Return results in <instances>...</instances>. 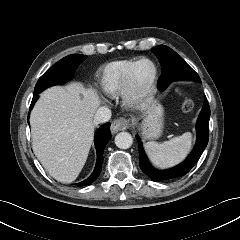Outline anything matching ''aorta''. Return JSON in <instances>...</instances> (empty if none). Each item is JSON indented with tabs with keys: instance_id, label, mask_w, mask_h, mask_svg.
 Masks as SVG:
<instances>
[{
	"instance_id": "aorta-1",
	"label": "aorta",
	"mask_w": 240,
	"mask_h": 240,
	"mask_svg": "<svg viewBox=\"0 0 240 240\" xmlns=\"http://www.w3.org/2000/svg\"><path fill=\"white\" fill-rule=\"evenodd\" d=\"M133 138L128 132H120L115 136V144L120 149H128L132 146Z\"/></svg>"
}]
</instances>
